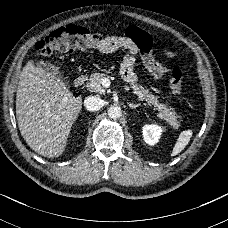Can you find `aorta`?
Instances as JSON below:
<instances>
[{"mask_svg": "<svg viewBox=\"0 0 228 228\" xmlns=\"http://www.w3.org/2000/svg\"><path fill=\"white\" fill-rule=\"evenodd\" d=\"M121 115H122V110L118 106H111L108 109V116L111 119H119L121 117Z\"/></svg>", "mask_w": 228, "mask_h": 228, "instance_id": "aorta-1", "label": "aorta"}]
</instances>
